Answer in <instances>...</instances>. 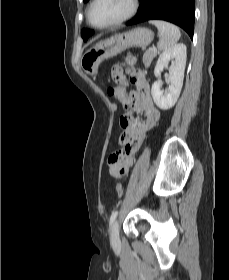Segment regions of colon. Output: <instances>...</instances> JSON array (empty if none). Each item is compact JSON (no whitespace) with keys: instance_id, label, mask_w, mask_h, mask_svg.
Listing matches in <instances>:
<instances>
[{"instance_id":"1","label":"colon","mask_w":229,"mask_h":280,"mask_svg":"<svg viewBox=\"0 0 229 280\" xmlns=\"http://www.w3.org/2000/svg\"><path fill=\"white\" fill-rule=\"evenodd\" d=\"M126 63L128 64L127 72L131 75L133 81H137L139 78L140 70L133 66V59L131 57L126 58ZM132 123V118L130 115L124 114L120 118V124L122 128H128ZM125 151L118 150L112 152L109 156L108 163L111 171L123 174L127 171L129 160H124ZM116 192L118 195L123 194V187L121 184L116 185Z\"/></svg>"}]
</instances>
